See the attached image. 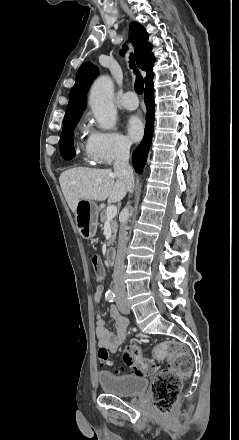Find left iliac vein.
<instances>
[{
	"label": "left iliac vein",
	"instance_id": "obj_1",
	"mask_svg": "<svg viewBox=\"0 0 239 440\" xmlns=\"http://www.w3.org/2000/svg\"><path fill=\"white\" fill-rule=\"evenodd\" d=\"M124 304H125V303L121 302L120 300L117 301V305H118L120 311H121L123 314H129V313H130V309H129V308H126V307L124 306Z\"/></svg>",
	"mask_w": 239,
	"mask_h": 440
}]
</instances>
